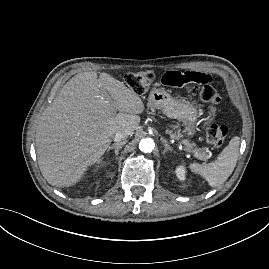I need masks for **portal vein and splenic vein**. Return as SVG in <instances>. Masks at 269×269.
I'll list each match as a JSON object with an SVG mask.
<instances>
[{
    "instance_id": "obj_1",
    "label": "portal vein and splenic vein",
    "mask_w": 269,
    "mask_h": 269,
    "mask_svg": "<svg viewBox=\"0 0 269 269\" xmlns=\"http://www.w3.org/2000/svg\"><path fill=\"white\" fill-rule=\"evenodd\" d=\"M186 151H188V152H191L189 149H185Z\"/></svg>"
}]
</instances>
